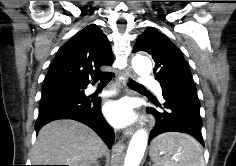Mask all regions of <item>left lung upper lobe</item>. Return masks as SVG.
<instances>
[{
  "label": "left lung upper lobe",
  "instance_id": "left-lung-upper-lobe-1",
  "mask_svg": "<svg viewBox=\"0 0 236 166\" xmlns=\"http://www.w3.org/2000/svg\"><path fill=\"white\" fill-rule=\"evenodd\" d=\"M145 51L153 56L154 73L161 86L173 82L193 83V78L182 52L164 34L148 28L137 39L133 52Z\"/></svg>",
  "mask_w": 236,
  "mask_h": 166
}]
</instances>
